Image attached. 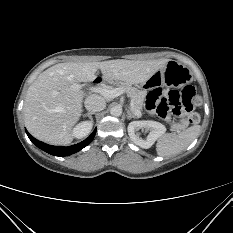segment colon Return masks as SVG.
Returning <instances> with one entry per match:
<instances>
[{"mask_svg":"<svg viewBox=\"0 0 233 233\" xmlns=\"http://www.w3.org/2000/svg\"><path fill=\"white\" fill-rule=\"evenodd\" d=\"M198 101L196 90L191 85L184 87L181 91L156 88L148 93L146 108L163 119L178 118L187 114L189 122L196 124L200 116L193 111V108Z\"/></svg>","mask_w":233,"mask_h":233,"instance_id":"5ec220e1","label":"colon"}]
</instances>
